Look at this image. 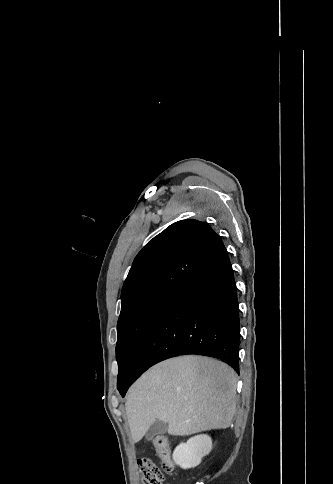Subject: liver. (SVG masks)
Masks as SVG:
<instances>
[{"instance_id":"liver-1","label":"liver","mask_w":333,"mask_h":484,"mask_svg":"<svg viewBox=\"0 0 333 484\" xmlns=\"http://www.w3.org/2000/svg\"><path fill=\"white\" fill-rule=\"evenodd\" d=\"M236 374L227 364L202 356L163 361L129 389L125 409L133 442L160 420L170 435L187 436L230 426L236 409Z\"/></svg>"}]
</instances>
